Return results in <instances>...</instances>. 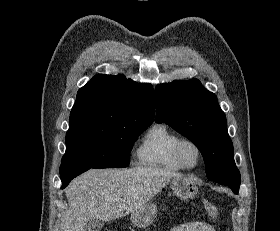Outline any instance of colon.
Instances as JSON below:
<instances>
[{
    "mask_svg": "<svg viewBox=\"0 0 280 231\" xmlns=\"http://www.w3.org/2000/svg\"><path fill=\"white\" fill-rule=\"evenodd\" d=\"M204 206H205V209L207 211V213L213 217V218H217L219 213H218V209L217 207L209 200H205L204 202Z\"/></svg>",
    "mask_w": 280,
    "mask_h": 231,
    "instance_id": "5ec220e1",
    "label": "colon"
}]
</instances>
